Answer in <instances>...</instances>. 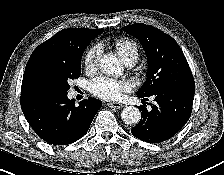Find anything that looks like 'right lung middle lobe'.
<instances>
[{
    "instance_id": "obj_1",
    "label": "right lung middle lobe",
    "mask_w": 224,
    "mask_h": 175,
    "mask_svg": "<svg viewBox=\"0 0 224 175\" xmlns=\"http://www.w3.org/2000/svg\"><path fill=\"white\" fill-rule=\"evenodd\" d=\"M85 47L68 55L43 57L25 69L21 89H52L68 91L71 79L81 74V59Z\"/></svg>"
}]
</instances>
